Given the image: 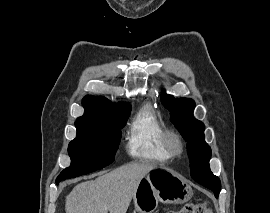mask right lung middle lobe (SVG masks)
I'll return each instance as SVG.
<instances>
[{
    "label": "right lung middle lobe",
    "instance_id": "dd1d6c3e",
    "mask_svg": "<svg viewBox=\"0 0 270 213\" xmlns=\"http://www.w3.org/2000/svg\"><path fill=\"white\" fill-rule=\"evenodd\" d=\"M129 114L107 121L75 122L77 136L68 146L71 165L60 173L56 183L112 163L121 138L119 129L124 127Z\"/></svg>",
    "mask_w": 270,
    "mask_h": 213
}]
</instances>
